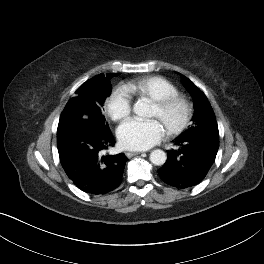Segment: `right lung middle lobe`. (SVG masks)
<instances>
[{
  "mask_svg": "<svg viewBox=\"0 0 264 264\" xmlns=\"http://www.w3.org/2000/svg\"><path fill=\"white\" fill-rule=\"evenodd\" d=\"M117 75H97L76 90V96L68 101L61 114L57 129V138L60 139L62 137L61 134L89 123H94L109 129L105 123L102 109L105 99L111 92L109 79Z\"/></svg>",
  "mask_w": 264,
  "mask_h": 264,
  "instance_id": "obj_1",
  "label": "right lung middle lobe"
}]
</instances>
